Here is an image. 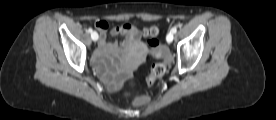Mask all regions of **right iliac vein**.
Instances as JSON below:
<instances>
[{"label": "right iliac vein", "mask_w": 276, "mask_h": 120, "mask_svg": "<svg viewBox=\"0 0 276 120\" xmlns=\"http://www.w3.org/2000/svg\"><path fill=\"white\" fill-rule=\"evenodd\" d=\"M91 38H92L93 41H97L98 40V34H97V32H95V31L92 32L91 33Z\"/></svg>", "instance_id": "63e3f726"}]
</instances>
